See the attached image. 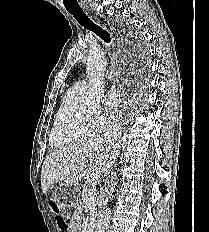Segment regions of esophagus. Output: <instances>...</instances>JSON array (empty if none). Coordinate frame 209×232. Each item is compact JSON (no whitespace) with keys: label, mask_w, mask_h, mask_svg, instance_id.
<instances>
[{"label":"esophagus","mask_w":209,"mask_h":232,"mask_svg":"<svg viewBox=\"0 0 209 232\" xmlns=\"http://www.w3.org/2000/svg\"><path fill=\"white\" fill-rule=\"evenodd\" d=\"M120 108H121L122 112L125 111V108H126V98H125V96L122 97Z\"/></svg>","instance_id":"esophagus-1"}]
</instances>
